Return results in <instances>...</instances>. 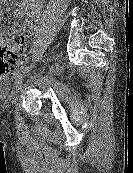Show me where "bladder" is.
I'll list each match as a JSON object with an SVG mask.
<instances>
[{
	"label": "bladder",
	"mask_w": 133,
	"mask_h": 173,
	"mask_svg": "<svg viewBox=\"0 0 133 173\" xmlns=\"http://www.w3.org/2000/svg\"><path fill=\"white\" fill-rule=\"evenodd\" d=\"M7 80H3L0 82V93L4 94L7 88Z\"/></svg>",
	"instance_id": "1"
}]
</instances>
